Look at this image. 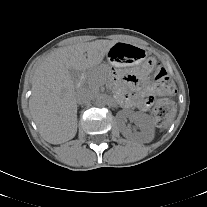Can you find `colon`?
<instances>
[{
	"label": "colon",
	"instance_id": "colon-1",
	"mask_svg": "<svg viewBox=\"0 0 207 207\" xmlns=\"http://www.w3.org/2000/svg\"><path fill=\"white\" fill-rule=\"evenodd\" d=\"M148 64L154 72L157 94L162 97L173 96L176 92V86L168 76L166 69L155 59H150ZM174 111V104L170 100L163 98L157 103L154 109V120L161 125Z\"/></svg>",
	"mask_w": 207,
	"mask_h": 207
}]
</instances>
